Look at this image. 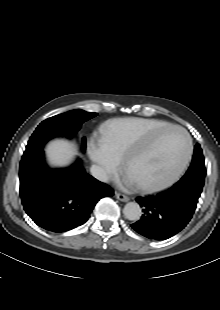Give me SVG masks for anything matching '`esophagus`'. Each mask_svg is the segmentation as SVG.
<instances>
[{
    "mask_svg": "<svg viewBox=\"0 0 220 310\" xmlns=\"http://www.w3.org/2000/svg\"><path fill=\"white\" fill-rule=\"evenodd\" d=\"M115 196L117 199H119L120 201H123V202H126L129 200L128 196L121 194V193H115Z\"/></svg>",
    "mask_w": 220,
    "mask_h": 310,
    "instance_id": "34e87169",
    "label": "esophagus"
}]
</instances>
